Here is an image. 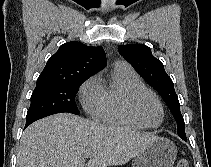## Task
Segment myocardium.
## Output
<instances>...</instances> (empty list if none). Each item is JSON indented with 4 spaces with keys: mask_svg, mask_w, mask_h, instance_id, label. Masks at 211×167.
Masks as SVG:
<instances>
[{
    "mask_svg": "<svg viewBox=\"0 0 211 167\" xmlns=\"http://www.w3.org/2000/svg\"><path fill=\"white\" fill-rule=\"evenodd\" d=\"M143 93H147V94L151 95L156 100L157 104L159 105V108L161 110V120L156 125H148V124L144 123L140 119V117L138 116V114L135 110V101H136L137 97L139 95L143 94ZM124 106H125V109H126V112L128 113V115L137 124H139L143 128H148V129L158 128L163 123V121L165 119V109H164V106H163L161 99L159 98V96L153 90H151L147 87H144V86L130 90L125 96Z\"/></svg>",
    "mask_w": 211,
    "mask_h": 167,
    "instance_id": "obj_1",
    "label": "myocardium"
}]
</instances>
